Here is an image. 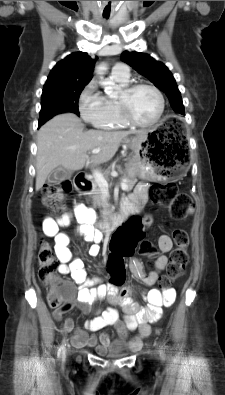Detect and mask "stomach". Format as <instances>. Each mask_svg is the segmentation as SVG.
<instances>
[{"label": "stomach", "mask_w": 225, "mask_h": 395, "mask_svg": "<svg viewBox=\"0 0 225 395\" xmlns=\"http://www.w3.org/2000/svg\"><path fill=\"white\" fill-rule=\"evenodd\" d=\"M157 129L147 133L145 138L136 135L127 139L134 155L126 165L129 177H139L147 181L178 179L184 175L185 164L176 154H169L161 142Z\"/></svg>", "instance_id": "stomach-1"}]
</instances>
